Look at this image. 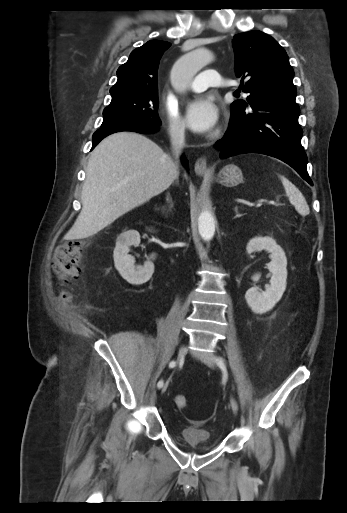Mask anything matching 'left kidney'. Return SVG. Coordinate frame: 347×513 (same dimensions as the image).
<instances>
[{
	"instance_id": "5707ae66",
	"label": "left kidney",
	"mask_w": 347,
	"mask_h": 513,
	"mask_svg": "<svg viewBox=\"0 0 347 513\" xmlns=\"http://www.w3.org/2000/svg\"><path fill=\"white\" fill-rule=\"evenodd\" d=\"M261 250L271 253V262L268 264L272 274L270 285H267L266 290L262 292H259L256 286L251 287L245 294L247 304L257 314H264L271 310L281 299L287 285V258L284 250L271 237L252 238L246 247L249 254ZM259 278L260 275L255 274L252 280L256 282Z\"/></svg>"
}]
</instances>
